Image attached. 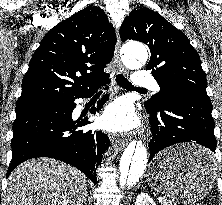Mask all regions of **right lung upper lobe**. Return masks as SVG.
Here are the masks:
<instances>
[{"label": "right lung upper lobe", "mask_w": 222, "mask_h": 205, "mask_svg": "<svg viewBox=\"0 0 222 205\" xmlns=\"http://www.w3.org/2000/svg\"><path fill=\"white\" fill-rule=\"evenodd\" d=\"M116 34L105 12L88 6L54 26L33 54L18 103L68 101L107 79Z\"/></svg>", "instance_id": "cb5924a9"}]
</instances>
